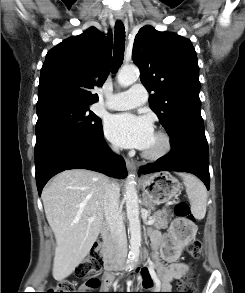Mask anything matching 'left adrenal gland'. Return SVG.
<instances>
[{
    "label": "left adrenal gland",
    "instance_id": "obj_1",
    "mask_svg": "<svg viewBox=\"0 0 245 293\" xmlns=\"http://www.w3.org/2000/svg\"><path fill=\"white\" fill-rule=\"evenodd\" d=\"M143 201H144V205H145L146 207L151 206L150 203L147 201L146 196H144Z\"/></svg>",
    "mask_w": 245,
    "mask_h": 293
}]
</instances>
